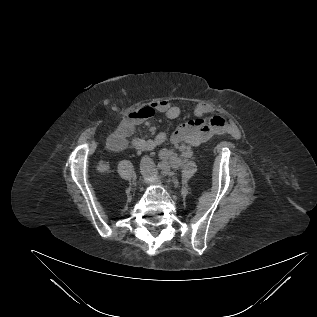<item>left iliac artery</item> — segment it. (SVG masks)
Instances as JSON below:
<instances>
[{
  "label": "left iliac artery",
  "instance_id": "obj_1",
  "mask_svg": "<svg viewBox=\"0 0 317 317\" xmlns=\"http://www.w3.org/2000/svg\"><path fill=\"white\" fill-rule=\"evenodd\" d=\"M168 171H169V168H165V169H164V173H165V174H168Z\"/></svg>",
  "mask_w": 317,
  "mask_h": 317
}]
</instances>
